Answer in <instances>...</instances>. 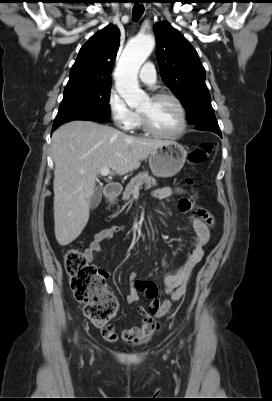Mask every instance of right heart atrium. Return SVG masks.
Instances as JSON below:
<instances>
[{
  "mask_svg": "<svg viewBox=\"0 0 272 401\" xmlns=\"http://www.w3.org/2000/svg\"><path fill=\"white\" fill-rule=\"evenodd\" d=\"M108 111L114 123L123 130H130L136 120L137 113L128 107L119 93L111 89L107 96Z\"/></svg>",
  "mask_w": 272,
  "mask_h": 401,
  "instance_id": "obj_1",
  "label": "right heart atrium"
}]
</instances>
